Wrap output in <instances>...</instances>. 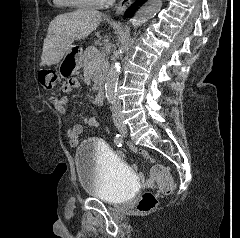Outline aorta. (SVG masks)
<instances>
[{
  "instance_id": "obj_1",
  "label": "aorta",
  "mask_w": 240,
  "mask_h": 238,
  "mask_svg": "<svg viewBox=\"0 0 240 238\" xmlns=\"http://www.w3.org/2000/svg\"><path fill=\"white\" fill-rule=\"evenodd\" d=\"M162 7V0H148L135 14L132 19L134 29L146 23L159 12ZM120 62L115 61L107 74L105 83V96L109 103H113L117 96V84L120 74Z\"/></svg>"
}]
</instances>
